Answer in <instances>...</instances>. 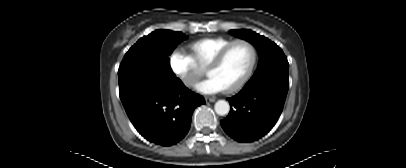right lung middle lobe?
<instances>
[{"mask_svg":"<svg viewBox=\"0 0 406 168\" xmlns=\"http://www.w3.org/2000/svg\"><path fill=\"white\" fill-rule=\"evenodd\" d=\"M186 38L181 32L160 29L139 39L125 54L118 70L121 100L175 79L168 56Z\"/></svg>","mask_w":406,"mask_h":168,"instance_id":"dd1d6c3e","label":"right lung middle lobe"}]
</instances>
